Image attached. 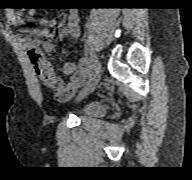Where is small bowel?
<instances>
[{
  "mask_svg": "<svg viewBox=\"0 0 192 180\" xmlns=\"http://www.w3.org/2000/svg\"><path fill=\"white\" fill-rule=\"evenodd\" d=\"M29 15L33 11L28 12ZM14 25H21L24 22V12L16 11L11 18ZM56 25V20L52 19L42 23L40 27L30 29L29 36L22 40L26 48L29 60L36 75L49 88L57 100L67 101L81 88L90 72V63L87 58H81L76 63L67 62L63 65V72L68 76L64 81L58 77L51 63L46 59L43 52H51L54 49L51 27ZM81 30V18L77 11L73 10L69 14L68 22L62 30V34L70 38H78Z\"/></svg>",
  "mask_w": 192,
  "mask_h": 180,
  "instance_id": "small-bowel-1",
  "label": "small bowel"
}]
</instances>
